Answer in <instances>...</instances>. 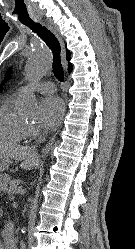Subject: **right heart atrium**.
<instances>
[{"label": "right heart atrium", "mask_w": 135, "mask_h": 249, "mask_svg": "<svg viewBox=\"0 0 135 249\" xmlns=\"http://www.w3.org/2000/svg\"><path fill=\"white\" fill-rule=\"evenodd\" d=\"M40 129L37 126H28V136L34 137L39 135Z\"/></svg>", "instance_id": "1"}]
</instances>
